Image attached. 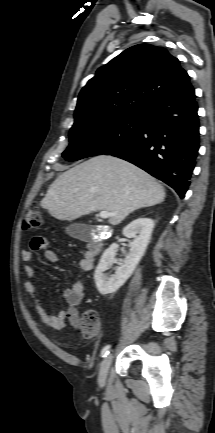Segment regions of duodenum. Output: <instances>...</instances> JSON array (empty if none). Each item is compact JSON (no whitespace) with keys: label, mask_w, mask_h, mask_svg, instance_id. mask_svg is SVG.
I'll list each match as a JSON object with an SVG mask.
<instances>
[{"label":"duodenum","mask_w":215,"mask_h":433,"mask_svg":"<svg viewBox=\"0 0 215 433\" xmlns=\"http://www.w3.org/2000/svg\"><path fill=\"white\" fill-rule=\"evenodd\" d=\"M104 235L100 234L98 238L91 239L88 243V251L93 255H97L103 247Z\"/></svg>","instance_id":"obj_1"}]
</instances>
